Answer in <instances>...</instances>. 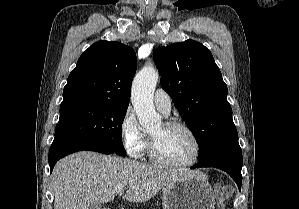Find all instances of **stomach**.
<instances>
[{
	"instance_id": "obj_1",
	"label": "stomach",
	"mask_w": 299,
	"mask_h": 209,
	"mask_svg": "<svg viewBox=\"0 0 299 209\" xmlns=\"http://www.w3.org/2000/svg\"><path fill=\"white\" fill-rule=\"evenodd\" d=\"M162 200L165 209H214L215 205L207 176L198 171L166 186Z\"/></svg>"
}]
</instances>
